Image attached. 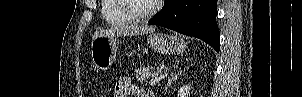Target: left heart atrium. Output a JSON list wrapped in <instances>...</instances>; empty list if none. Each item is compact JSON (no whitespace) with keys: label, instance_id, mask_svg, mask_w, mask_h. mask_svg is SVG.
<instances>
[{"label":"left heart atrium","instance_id":"obj_1","mask_svg":"<svg viewBox=\"0 0 302 97\" xmlns=\"http://www.w3.org/2000/svg\"><path fill=\"white\" fill-rule=\"evenodd\" d=\"M153 3H161L162 0H151Z\"/></svg>","mask_w":302,"mask_h":97}]
</instances>
